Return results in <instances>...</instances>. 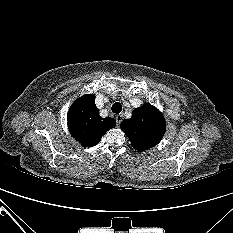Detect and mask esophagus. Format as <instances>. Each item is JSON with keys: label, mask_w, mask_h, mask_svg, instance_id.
Instances as JSON below:
<instances>
[{"label": "esophagus", "mask_w": 233, "mask_h": 233, "mask_svg": "<svg viewBox=\"0 0 233 233\" xmlns=\"http://www.w3.org/2000/svg\"><path fill=\"white\" fill-rule=\"evenodd\" d=\"M122 119H123V118H122V115L119 114V115L116 116V123H117V126H119V125L121 124Z\"/></svg>", "instance_id": "obj_1"}]
</instances>
